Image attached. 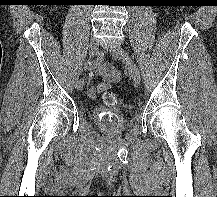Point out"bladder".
Segmentation results:
<instances>
[{"mask_svg": "<svg viewBox=\"0 0 217 197\" xmlns=\"http://www.w3.org/2000/svg\"><path fill=\"white\" fill-rule=\"evenodd\" d=\"M93 119L106 133H121L126 126V118L117 109L98 107L93 111Z\"/></svg>", "mask_w": 217, "mask_h": 197, "instance_id": "obj_1", "label": "bladder"}]
</instances>
